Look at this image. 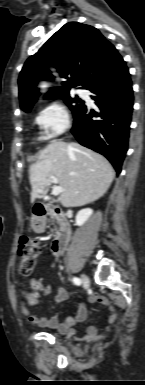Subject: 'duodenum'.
<instances>
[{"mask_svg":"<svg viewBox=\"0 0 145 385\" xmlns=\"http://www.w3.org/2000/svg\"><path fill=\"white\" fill-rule=\"evenodd\" d=\"M34 215V226L40 232L43 231L46 226V217L51 216L57 221L58 232L52 242V251L54 254L62 253L71 238V227L65 214L53 204L40 202L35 206Z\"/></svg>","mask_w":145,"mask_h":385,"instance_id":"duodenum-1","label":"duodenum"}]
</instances>
